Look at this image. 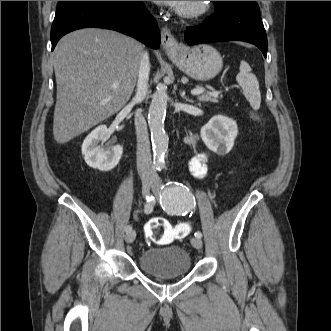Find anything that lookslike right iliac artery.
<instances>
[{"label":"right iliac artery","mask_w":331,"mask_h":331,"mask_svg":"<svg viewBox=\"0 0 331 331\" xmlns=\"http://www.w3.org/2000/svg\"><path fill=\"white\" fill-rule=\"evenodd\" d=\"M155 204V200H154V197L152 196H148L146 198V204H145V207H144V213L146 214H149L152 212L153 210V205ZM132 230V227L130 225H128L126 227V232H130Z\"/></svg>","instance_id":"1"}]
</instances>
